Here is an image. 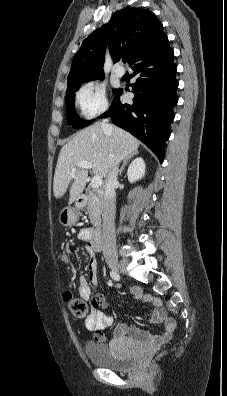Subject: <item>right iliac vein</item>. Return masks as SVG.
<instances>
[{
    "instance_id": "1",
    "label": "right iliac vein",
    "mask_w": 227,
    "mask_h": 396,
    "mask_svg": "<svg viewBox=\"0 0 227 396\" xmlns=\"http://www.w3.org/2000/svg\"><path fill=\"white\" fill-rule=\"evenodd\" d=\"M108 265L115 272H117L119 270L125 271L126 264L124 262H119L117 260H110L108 262Z\"/></svg>"
}]
</instances>
